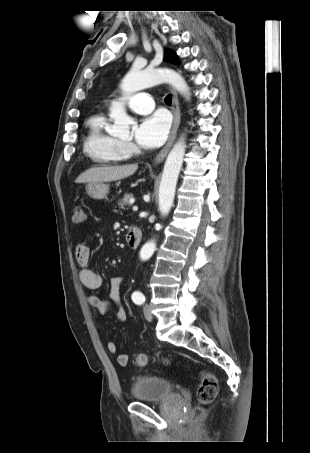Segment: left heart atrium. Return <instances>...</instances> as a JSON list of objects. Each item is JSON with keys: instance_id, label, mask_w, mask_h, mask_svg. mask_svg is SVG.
<instances>
[{"instance_id": "left-heart-atrium-1", "label": "left heart atrium", "mask_w": 310, "mask_h": 453, "mask_svg": "<svg viewBox=\"0 0 310 453\" xmlns=\"http://www.w3.org/2000/svg\"><path fill=\"white\" fill-rule=\"evenodd\" d=\"M170 129L169 117L161 112L143 118L134 130L136 142L146 149L156 148L164 143Z\"/></svg>"}]
</instances>
